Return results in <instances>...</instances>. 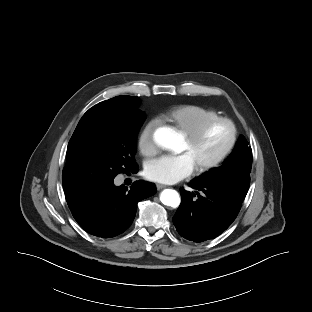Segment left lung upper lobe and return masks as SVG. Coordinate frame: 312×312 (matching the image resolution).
<instances>
[{"instance_id": "left-lung-upper-lobe-1", "label": "left lung upper lobe", "mask_w": 312, "mask_h": 312, "mask_svg": "<svg viewBox=\"0 0 312 312\" xmlns=\"http://www.w3.org/2000/svg\"><path fill=\"white\" fill-rule=\"evenodd\" d=\"M251 166V147L248 146L247 140L240 136L235 149L220 167L211 169L195 180L224 184L244 199L250 185Z\"/></svg>"}]
</instances>
